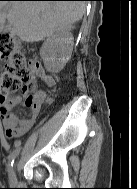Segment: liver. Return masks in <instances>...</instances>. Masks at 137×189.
<instances>
[{"mask_svg": "<svg viewBox=\"0 0 137 189\" xmlns=\"http://www.w3.org/2000/svg\"><path fill=\"white\" fill-rule=\"evenodd\" d=\"M6 1L0 2L2 18L8 20L6 27L11 36H18L25 42H37L82 19L86 4L84 1ZM10 6V8L8 7ZM5 21V20H4ZM4 23V22H3Z\"/></svg>", "mask_w": 137, "mask_h": 189, "instance_id": "obj_1", "label": "liver"}]
</instances>
